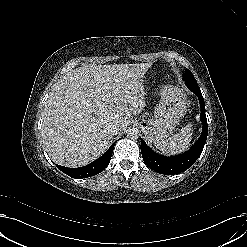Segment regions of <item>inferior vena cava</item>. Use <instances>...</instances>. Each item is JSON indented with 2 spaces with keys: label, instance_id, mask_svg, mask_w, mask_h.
Listing matches in <instances>:
<instances>
[{
  "label": "inferior vena cava",
  "instance_id": "1",
  "mask_svg": "<svg viewBox=\"0 0 247 247\" xmlns=\"http://www.w3.org/2000/svg\"><path fill=\"white\" fill-rule=\"evenodd\" d=\"M106 131L108 134L114 136L120 131V126L117 123H113L107 126Z\"/></svg>",
  "mask_w": 247,
  "mask_h": 247
}]
</instances>
